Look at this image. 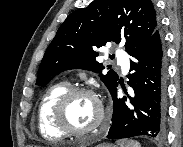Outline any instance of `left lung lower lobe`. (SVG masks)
I'll list each match as a JSON object with an SVG mask.
<instances>
[{
    "label": "left lung lower lobe",
    "mask_w": 183,
    "mask_h": 147,
    "mask_svg": "<svg viewBox=\"0 0 183 147\" xmlns=\"http://www.w3.org/2000/svg\"><path fill=\"white\" fill-rule=\"evenodd\" d=\"M128 84L133 95L118 98L112 89L113 116L108 138L119 139L146 135L159 137L165 131L166 58L160 27L132 50Z\"/></svg>",
    "instance_id": "0a47b994"
}]
</instances>
